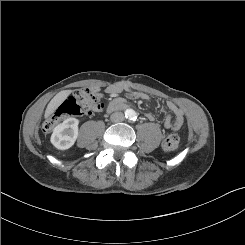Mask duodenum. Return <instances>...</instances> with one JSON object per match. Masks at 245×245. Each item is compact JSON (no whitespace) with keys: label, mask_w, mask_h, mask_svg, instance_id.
<instances>
[{"label":"duodenum","mask_w":245,"mask_h":245,"mask_svg":"<svg viewBox=\"0 0 245 245\" xmlns=\"http://www.w3.org/2000/svg\"><path fill=\"white\" fill-rule=\"evenodd\" d=\"M125 106H126V105H122V106L118 107V109H119V108H124Z\"/></svg>","instance_id":"duodenum-1"}]
</instances>
